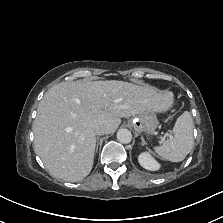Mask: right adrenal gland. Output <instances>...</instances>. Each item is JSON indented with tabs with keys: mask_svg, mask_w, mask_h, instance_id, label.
<instances>
[{
	"mask_svg": "<svg viewBox=\"0 0 223 223\" xmlns=\"http://www.w3.org/2000/svg\"><path fill=\"white\" fill-rule=\"evenodd\" d=\"M97 150H98V139H97V145H96V152H97Z\"/></svg>",
	"mask_w": 223,
	"mask_h": 223,
	"instance_id": "1",
	"label": "right adrenal gland"
}]
</instances>
